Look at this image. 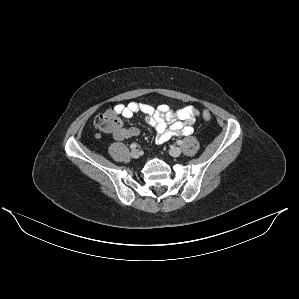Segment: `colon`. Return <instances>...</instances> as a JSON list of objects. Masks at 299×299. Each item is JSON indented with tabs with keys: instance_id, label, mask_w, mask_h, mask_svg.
Returning a JSON list of instances; mask_svg holds the SVG:
<instances>
[{
	"instance_id": "obj_1",
	"label": "colon",
	"mask_w": 299,
	"mask_h": 299,
	"mask_svg": "<svg viewBox=\"0 0 299 299\" xmlns=\"http://www.w3.org/2000/svg\"><path fill=\"white\" fill-rule=\"evenodd\" d=\"M202 117L205 120L211 119V114L209 111L204 110L202 112ZM96 127L108 133H115L121 129V121L118 116V112L115 109H108L103 113L99 114L95 119Z\"/></svg>"
}]
</instances>
